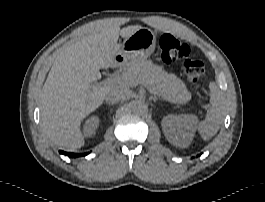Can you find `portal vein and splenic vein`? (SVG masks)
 Returning <instances> with one entry per match:
<instances>
[{
	"instance_id": "1",
	"label": "portal vein and splenic vein",
	"mask_w": 265,
	"mask_h": 202,
	"mask_svg": "<svg viewBox=\"0 0 265 202\" xmlns=\"http://www.w3.org/2000/svg\"><path fill=\"white\" fill-rule=\"evenodd\" d=\"M115 82H118V83H122V84H127L128 85V81H127V76L126 75H120V76H117V77H113V78H108L105 83H115ZM142 84H144V86H147L146 83L142 82ZM149 91L153 94H158L157 91H155L154 89H151L149 88ZM164 99L170 103H174L172 101H170L169 99L165 98Z\"/></svg>"
}]
</instances>
